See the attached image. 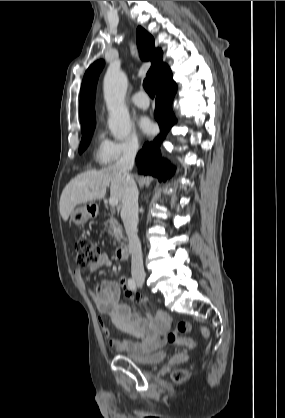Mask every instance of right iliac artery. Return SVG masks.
<instances>
[{
    "instance_id": "1",
    "label": "right iliac artery",
    "mask_w": 285,
    "mask_h": 418,
    "mask_svg": "<svg viewBox=\"0 0 285 418\" xmlns=\"http://www.w3.org/2000/svg\"><path fill=\"white\" fill-rule=\"evenodd\" d=\"M128 285H129V288H130L131 290H135V289H136V283H135L134 279L129 278V279H128Z\"/></svg>"
}]
</instances>
